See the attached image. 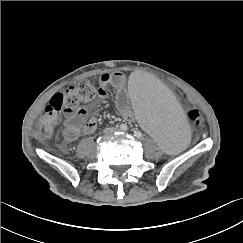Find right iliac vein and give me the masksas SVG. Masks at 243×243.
<instances>
[{
	"mask_svg": "<svg viewBox=\"0 0 243 243\" xmlns=\"http://www.w3.org/2000/svg\"><path fill=\"white\" fill-rule=\"evenodd\" d=\"M115 131V129L114 128H106V129H104V134H109V133H113Z\"/></svg>",
	"mask_w": 243,
	"mask_h": 243,
	"instance_id": "right-iliac-vein-1",
	"label": "right iliac vein"
}]
</instances>
